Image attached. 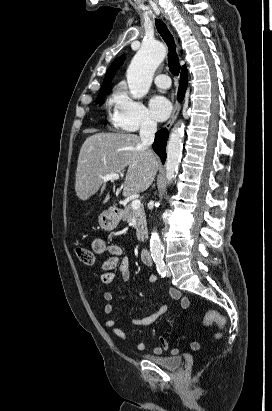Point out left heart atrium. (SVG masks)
<instances>
[{
    "label": "left heart atrium",
    "instance_id": "obj_1",
    "mask_svg": "<svg viewBox=\"0 0 272 411\" xmlns=\"http://www.w3.org/2000/svg\"><path fill=\"white\" fill-rule=\"evenodd\" d=\"M150 108L155 118L159 121H163L170 115L172 107L166 97L156 95L150 100Z\"/></svg>",
    "mask_w": 272,
    "mask_h": 411
}]
</instances>
